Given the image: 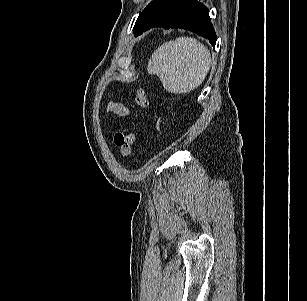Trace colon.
Here are the masks:
<instances>
[{"mask_svg": "<svg viewBox=\"0 0 307 301\" xmlns=\"http://www.w3.org/2000/svg\"><path fill=\"white\" fill-rule=\"evenodd\" d=\"M134 103L138 108L145 109L149 105V97L144 90H138L134 97ZM135 135L129 129H119L114 136V142L120 150L123 158H127L132 151Z\"/></svg>", "mask_w": 307, "mask_h": 301, "instance_id": "colon-1", "label": "colon"}]
</instances>
